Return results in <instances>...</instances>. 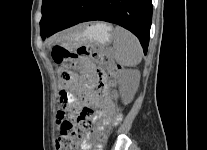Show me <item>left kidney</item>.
Masks as SVG:
<instances>
[{
	"instance_id": "obj_1",
	"label": "left kidney",
	"mask_w": 207,
	"mask_h": 150,
	"mask_svg": "<svg viewBox=\"0 0 207 150\" xmlns=\"http://www.w3.org/2000/svg\"><path fill=\"white\" fill-rule=\"evenodd\" d=\"M140 81L138 70H125L119 78L120 94L124 104H128L133 99Z\"/></svg>"
}]
</instances>
